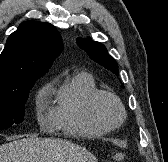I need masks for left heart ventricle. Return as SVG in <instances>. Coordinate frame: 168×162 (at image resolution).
I'll return each instance as SVG.
<instances>
[{
	"mask_svg": "<svg viewBox=\"0 0 168 162\" xmlns=\"http://www.w3.org/2000/svg\"><path fill=\"white\" fill-rule=\"evenodd\" d=\"M98 113L101 118L108 124L112 125L119 120V109L116 103L107 97H103L98 102Z\"/></svg>",
	"mask_w": 168,
	"mask_h": 162,
	"instance_id": "1",
	"label": "left heart ventricle"
}]
</instances>
